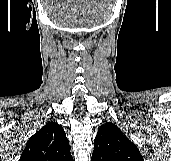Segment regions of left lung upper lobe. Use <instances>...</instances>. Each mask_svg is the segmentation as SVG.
<instances>
[{
	"label": "left lung upper lobe",
	"instance_id": "1",
	"mask_svg": "<svg viewBox=\"0 0 171 161\" xmlns=\"http://www.w3.org/2000/svg\"><path fill=\"white\" fill-rule=\"evenodd\" d=\"M91 161H144L136 145L113 123L103 124L94 140Z\"/></svg>",
	"mask_w": 171,
	"mask_h": 161
}]
</instances>
